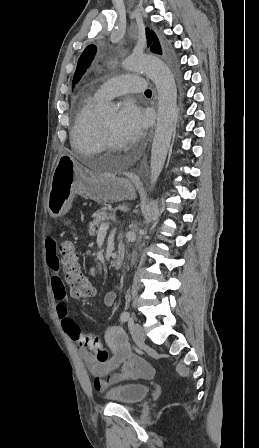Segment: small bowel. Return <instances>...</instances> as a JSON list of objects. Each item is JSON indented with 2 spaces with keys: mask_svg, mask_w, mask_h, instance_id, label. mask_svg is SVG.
Returning a JSON list of instances; mask_svg holds the SVG:
<instances>
[{
  "mask_svg": "<svg viewBox=\"0 0 259 448\" xmlns=\"http://www.w3.org/2000/svg\"><path fill=\"white\" fill-rule=\"evenodd\" d=\"M45 249L48 267L57 272L59 260L57 257V243L54 238L48 237L46 239ZM51 285L57 301L56 311L61 321V326L71 339L80 344L83 335L78 325L69 315L67 294L61 278L58 275H53ZM116 300L117 294L115 291L108 292L104 298L105 305L109 307L114 306ZM105 340L110 351V358L104 363L98 362L95 355L85 347L80 345L79 349L80 357L89 372L96 379L94 383L96 390L102 391L117 382L147 379L154 375V368L150 363L140 356L131 353L126 335L119 327H109L105 333ZM119 367H121L119 372L111 374L112 371Z\"/></svg>",
  "mask_w": 259,
  "mask_h": 448,
  "instance_id": "small-bowel-1",
  "label": "small bowel"
}]
</instances>
